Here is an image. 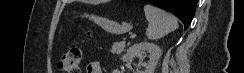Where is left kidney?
I'll use <instances>...</instances> for the list:
<instances>
[{
    "label": "left kidney",
    "mask_w": 244,
    "mask_h": 73,
    "mask_svg": "<svg viewBox=\"0 0 244 73\" xmlns=\"http://www.w3.org/2000/svg\"><path fill=\"white\" fill-rule=\"evenodd\" d=\"M146 52L149 53V60L144 64V70L139 71V73H154L155 67L161 57V49L154 43L141 42L132 45L122 57V61L128 62L135 56L144 55ZM115 73H119V71L115 70Z\"/></svg>",
    "instance_id": "obj_1"
}]
</instances>
